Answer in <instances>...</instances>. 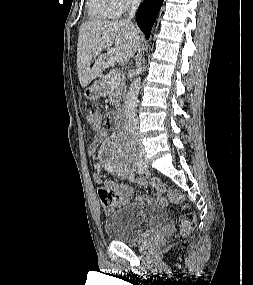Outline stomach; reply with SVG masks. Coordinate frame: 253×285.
<instances>
[{
  "label": "stomach",
  "mask_w": 253,
  "mask_h": 285,
  "mask_svg": "<svg viewBox=\"0 0 253 285\" xmlns=\"http://www.w3.org/2000/svg\"><path fill=\"white\" fill-rule=\"evenodd\" d=\"M102 93L103 90L101 84L99 82H95L85 90L84 95L89 100H96L102 95Z\"/></svg>",
  "instance_id": "0dacf381"
}]
</instances>
